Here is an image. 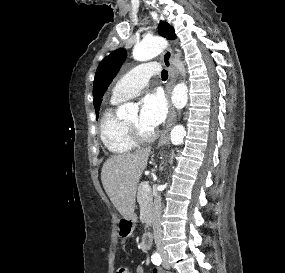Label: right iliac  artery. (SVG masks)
<instances>
[{
    "label": "right iliac artery",
    "mask_w": 285,
    "mask_h": 273,
    "mask_svg": "<svg viewBox=\"0 0 285 273\" xmlns=\"http://www.w3.org/2000/svg\"><path fill=\"white\" fill-rule=\"evenodd\" d=\"M151 261L153 262V264L155 265H160L162 262V258L159 254H155L151 256Z\"/></svg>",
    "instance_id": "obj_1"
}]
</instances>
